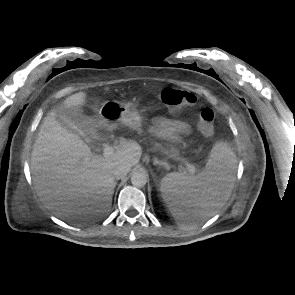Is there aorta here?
Wrapping results in <instances>:
<instances>
[{"label": "aorta", "mask_w": 295, "mask_h": 295, "mask_svg": "<svg viewBox=\"0 0 295 295\" xmlns=\"http://www.w3.org/2000/svg\"><path fill=\"white\" fill-rule=\"evenodd\" d=\"M148 174L145 171H136L131 176V183L136 187H143L146 185Z\"/></svg>", "instance_id": "aorta-1"}]
</instances>
